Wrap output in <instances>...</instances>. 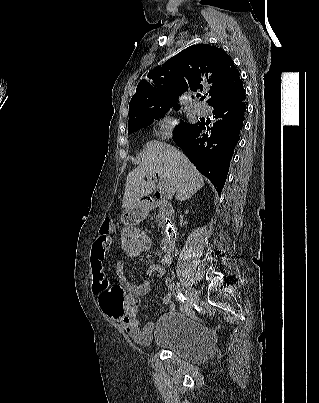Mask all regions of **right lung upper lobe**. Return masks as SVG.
I'll use <instances>...</instances> for the list:
<instances>
[{"instance_id":"right-lung-upper-lobe-1","label":"right lung upper lobe","mask_w":319,"mask_h":403,"mask_svg":"<svg viewBox=\"0 0 319 403\" xmlns=\"http://www.w3.org/2000/svg\"><path fill=\"white\" fill-rule=\"evenodd\" d=\"M208 87L210 106L245 94L239 71L223 49L209 44L192 45L153 69L138 84L129 104V121L157 107L178 105L183 91L197 92Z\"/></svg>"}]
</instances>
